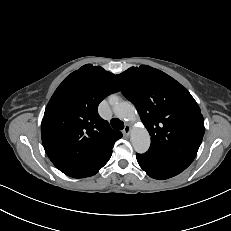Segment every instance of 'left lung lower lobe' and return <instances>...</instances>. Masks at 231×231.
<instances>
[{"mask_svg":"<svg viewBox=\"0 0 231 231\" xmlns=\"http://www.w3.org/2000/svg\"><path fill=\"white\" fill-rule=\"evenodd\" d=\"M140 167L152 178L168 179L185 170L190 163L159 158L150 154H136Z\"/></svg>","mask_w":231,"mask_h":231,"instance_id":"0a47b994","label":"left lung lower lobe"}]
</instances>
